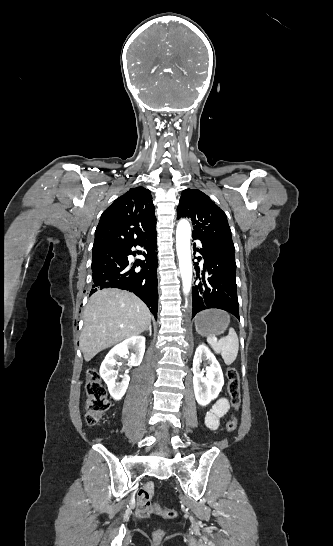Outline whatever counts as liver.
Here are the masks:
<instances>
[{"label":"liver","mask_w":333,"mask_h":546,"mask_svg":"<svg viewBox=\"0 0 333 546\" xmlns=\"http://www.w3.org/2000/svg\"><path fill=\"white\" fill-rule=\"evenodd\" d=\"M148 307L119 289L96 291L85 307L80 348L86 362L102 350L143 333L151 323Z\"/></svg>","instance_id":"6515ba94"}]
</instances>
